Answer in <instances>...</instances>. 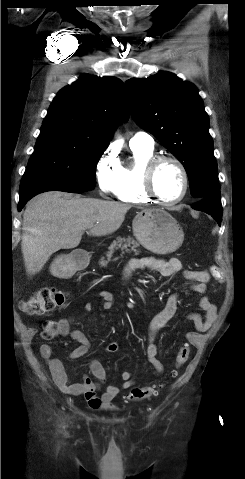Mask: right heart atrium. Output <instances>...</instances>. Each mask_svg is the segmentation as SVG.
Listing matches in <instances>:
<instances>
[{
    "instance_id": "obj_1",
    "label": "right heart atrium",
    "mask_w": 245,
    "mask_h": 479,
    "mask_svg": "<svg viewBox=\"0 0 245 479\" xmlns=\"http://www.w3.org/2000/svg\"><path fill=\"white\" fill-rule=\"evenodd\" d=\"M96 180L103 195H115L121 174V165L116 153L108 149L97 162Z\"/></svg>"
}]
</instances>
